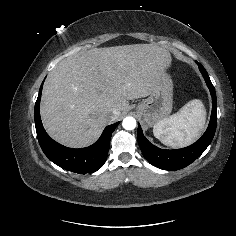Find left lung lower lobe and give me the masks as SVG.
<instances>
[{"mask_svg":"<svg viewBox=\"0 0 236 236\" xmlns=\"http://www.w3.org/2000/svg\"><path fill=\"white\" fill-rule=\"evenodd\" d=\"M198 66L210 90L213 103L209 126L203 136L188 147L175 150H164L151 144L143 135L140 125L138 126L137 139L144 158L160 169L176 171L190 165L206 150L214 137L217 124V100L215 88L203 66L199 63Z\"/></svg>","mask_w":236,"mask_h":236,"instance_id":"left-lung-lower-lobe-1","label":"left lung lower lobe"}]
</instances>
